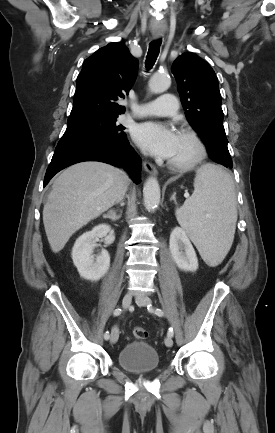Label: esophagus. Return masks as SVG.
<instances>
[{
  "label": "esophagus",
  "instance_id": "obj_1",
  "mask_svg": "<svg viewBox=\"0 0 275 433\" xmlns=\"http://www.w3.org/2000/svg\"><path fill=\"white\" fill-rule=\"evenodd\" d=\"M158 37H159L158 33L153 34L154 39H157ZM143 167H144V170L151 175H157V173H158L156 167L148 161H143Z\"/></svg>",
  "mask_w": 275,
  "mask_h": 433
}]
</instances>
